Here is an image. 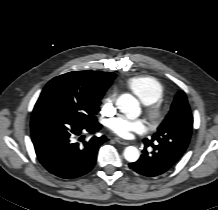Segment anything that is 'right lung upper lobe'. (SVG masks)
<instances>
[{
	"mask_svg": "<svg viewBox=\"0 0 218 210\" xmlns=\"http://www.w3.org/2000/svg\"><path fill=\"white\" fill-rule=\"evenodd\" d=\"M77 88L99 95H103L116 77L112 72L78 71L59 76Z\"/></svg>",
	"mask_w": 218,
	"mask_h": 210,
	"instance_id": "right-lung-upper-lobe-1",
	"label": "right lung upper lobe"
}]
</instances>
